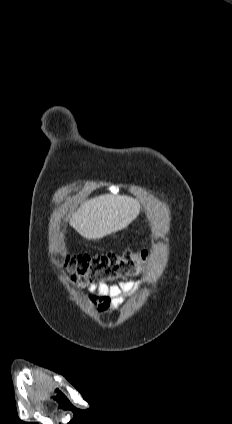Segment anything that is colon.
<instances>
[{
  "mask_svg": "<svg viewBox=\"0 0 232 424\" xmlns=\"http://www.w3.org/2000/svg\"><path fill=\"white\" fill-rule=\"evenodd\" d=\"M148 261L146 251L134 252L129 249L121 254L114 251L94 254L68 255L63 265L72 282L86 287L101 282H110L138 275Z\"/></svg>",
  "mask_w": 232,
  "mask_h": 424,
  "instance_id": "1",
  "label": "colon"
}]
</instances>
